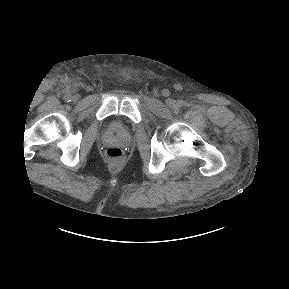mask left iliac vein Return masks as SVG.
<instances>
[{"mask_svg":"<svg viewBox=\"0 0 289 289\" xmlns=\"http://www.w3.org/2000/svg\"><path fill=\"white\" fill-rule=\"evenodd\" d=\"M167 106L170 107V108L175 107V101L172 100V99H169V100L167 101Z\"/></svg>","mask_w":289,"mask_h":289,"instance_id":"4c4485c4","label":"left iliac vein"}]
</instances>
